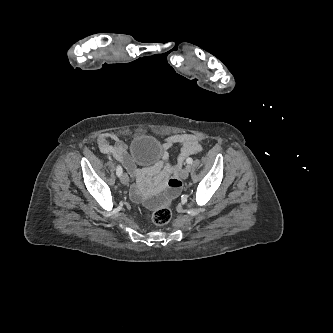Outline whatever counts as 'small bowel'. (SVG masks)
<instances>
[{"instance_id": "small-bowel-1", "label": "small bowel", "mask_w": 333, "mask_h": 333, "mask_svg": "<svg viewBox=\"0 0 333 333\" xmlns=\"http://www.w3.org/2000/svg\"><path fill=\"white\" fill-rule=\"evenodd\" d=\"M99 150L120 162L128 171L133 179L130 190V197L135 202L150 203L151 199L147 196L145 184H151L152 174L159 173L158 182L168 183L171 190L170 195L181 186L178 175L190 155L201 152L202 146L199 138L195 134L182 133L170 135L163 140V153L161 159L150 169L143 170L127 154V145L115 134H101L97 139ZM174 145L180 147L179 155L174 163L169 161L168 150Z\"/></svg>"}]
</instances>
